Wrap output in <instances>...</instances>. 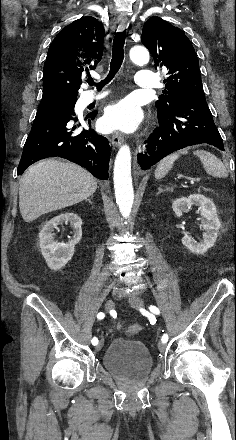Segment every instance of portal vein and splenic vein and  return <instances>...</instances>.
I'll use <instances>...</instances> for the list:
<instances>
[{"label":"portal vein and splenic vein","instance_id":"18ae733b","mask_svg":"<svg viewBox=\"0 0 236 440\" xmlns=\"http://www.w3.org/2000/svg\"><path fill=\"white\" fill-rule=\"evenodd\" d=\"M194 181L199 182V181H200V178H196V179H194Z\"/></svg>","mask_w":236,"mask_h":440}]
</instances>
